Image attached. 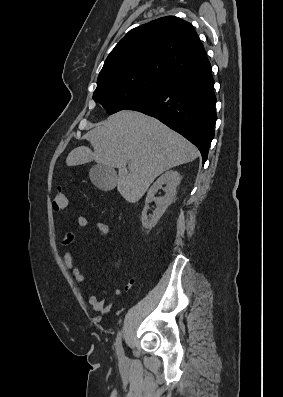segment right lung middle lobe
<instances>
[{"mask_svg":"<svg viewBox=\"0 0 283 397\" xmlns=\"http://www.w3.org/2000/svg\"><path fill=\"white\" fill-rule=\"evenodd\" d=\"M167 81L150 75L119 76L97 81L93 94L109 115L124 110L147 97Z\"/></svg>","mask_w":283,"mask_h":397,"instance_id":"dd1d6c3e","label":"right lung middle lobe"}]
</instances>
